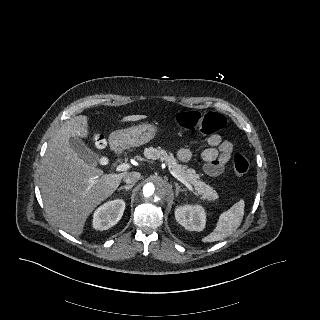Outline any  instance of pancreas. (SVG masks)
<instances>
[{"label": "pancreas", "instance_id": "obj_1", "mask_svg": "<svg viewBox=\"0 0 320 320\" xmlns=\"http://www.w3.org/2000/svg\"><path fill=\"white\" fill-rule=\"evenodd\" d=\"M144 155L148 159L164 161L169 169L195 186V193L201 199L215 201L218 198L217 192L210 185L201 181L199 174L194 169H190L186 165H180L172 153H168L160 147H149L144 150Z\"/></svg>", "mask_w": 320, "mask_h": 320}]
</instances>
